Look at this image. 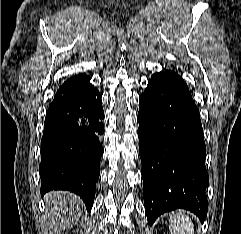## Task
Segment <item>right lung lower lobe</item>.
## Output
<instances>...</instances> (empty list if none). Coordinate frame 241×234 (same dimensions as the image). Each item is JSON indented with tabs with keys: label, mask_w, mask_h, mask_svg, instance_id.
Masks as SVG:
<instances>
[{
	"label": "right lung lower lobe",
	"mask_w": 241,
	"mask_h": 234,
	"mask_svg": "<svg viewBox=\"0 0 241 234\" xmlns=\"http://www.w3.org/2000/svg\"><path fill=\"white\" fill-rule=\"evenodd\" d=\"M104 111L98 90L86 74L59 87L50 104L41 140V194L68 190L92 208L100 174Z\"/></svg>",
	"instance_id": "obj_1"
}]
</instances>
